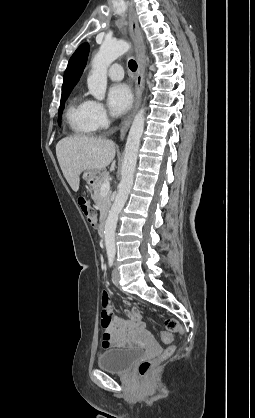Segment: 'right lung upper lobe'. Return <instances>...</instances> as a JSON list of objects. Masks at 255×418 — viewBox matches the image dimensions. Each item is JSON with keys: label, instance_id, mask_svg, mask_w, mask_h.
Masks as SVG:
<instances>
[{"label": "right lung upper lobe", "instance_id": "1", "mask_svg": "<svg viewBox=\"0 0 255 418\" xmlns=\"http://www.w3.org/2000/svg\"><path fill=\"white\" fill-rule=\"evenodd\" d=\"M88 53L89 45L87 43H83L72 55L64 73L62 92L70 89L72 90V88L79 81L87 62Z\"/></svg>", "mask_w": 255, "mask_h": 418}]
</instances>
